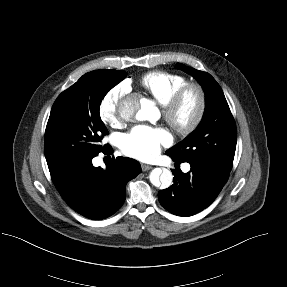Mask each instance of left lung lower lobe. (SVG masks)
Returning a JSON list of instances; mask_svg holds the SVG:
<instances>
[{"mask_svg":"<svg viewBox=\"0 0 287 287\" xmlns=\"http://www.w3.org/2000/svg\"><path fill=\"white\" fill-rule=\"evenodd\" d=\"M173 160L176 164L181 163ZM186 162L191 166L190 172L173 170L174 183L158 192L159 202L165 209L184 217L207 208L216 199L230 174L229 171L200 160Z\"/></svg>","mask_w":287,"mask_h":287,"instance_id":"obj_1","label":"left lung lower lobe"}]
</instances>
